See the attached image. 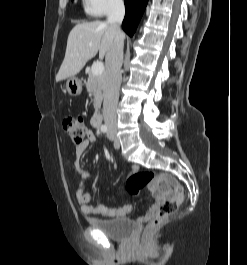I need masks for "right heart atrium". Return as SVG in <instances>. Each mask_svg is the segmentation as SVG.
<instances>
[{
    "mask_svg": "<svg viewBox=\"0 0 247 265\" xmlns=\"http://www.w3.org/2000/svg\"><path fill=\"white\" fill-rule=\"evenodd\" d=\"M83 6L87 14L101 17L120 10L123 0H83Z\"/></svg>",
    "mask_w": 247,
    "mask_h": 265,
    "instance_id": "d8ad5b80",
    "label": "right heart atrium"
}]
</instances>
